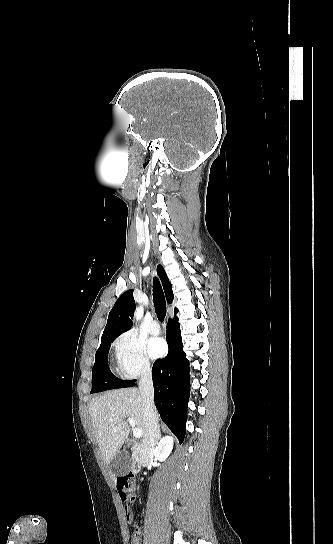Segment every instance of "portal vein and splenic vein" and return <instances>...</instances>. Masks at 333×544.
<instances>
[{"label":"portal vein and splenic vein","instance_id":"18ae733b","mask_svg":"<svg viewBox=\"0 0 333 544\" xmlns=\"http://www.w3.org/2000/svg\"><path fill=\"white\" fill-rule=\"evenodd\" d=\"M128 422L129 424L132 426L133 428V436L136 437V438H141L143 433H142V430L135 427L136 426V423H135V420L131 417H128Z\"/></svg>","mask_w":333,"mask_h":544}]
</instances>
